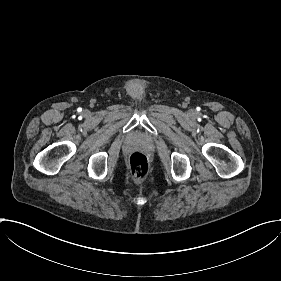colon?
<instances>
[{"instance_id": "obj_1", "label": "colon", "mask_w": 281, "mask_h": 281, "mask_svg": "<svg viewBox=\"0 0 281 281\" xmlns=\"http://www.w3.org/2000/svg\"><path fill=\"white\" fill-rule=\"evenodd\" d=\"M128 170L135 180L144 179L149 174L150 162L144 154L135 152L128 159Z\"/></svg>"}]
</instances>
